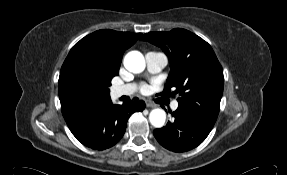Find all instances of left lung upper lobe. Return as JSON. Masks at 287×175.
I'll return each mask as SVG.
<instances>
[{"instance_id": "left-lung-upper-lobe-1", "label": "left lung upper lobe", "mask_w": 287, "mask_h": 175, "mask_svg": "<svg viewBox=\"0 0 287 175\" xmlns=\"http://www.w3.org/2000/svg\"><path fill=\"white\" fill-rule=\"evenodd\" d=\"M167 54L171 71L162 94L179 93V107L214 126L223 94V69L211 46L199 36L181 28L150 32L141 38Z\"/></svg>"}]
</instances>
